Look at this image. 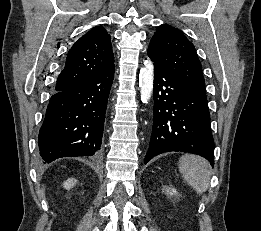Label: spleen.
Listing matches in <instances>:
<instances>
[{
	"instance_id": "3e777b00",
	"label": "spleen",
	"mask_w": 261,
	"mask_h": 231,
	"mask_svg": "<svg viewBox=\"0 0 261 231\" xmlns=\"http://www.w3.org/2000/svg\"><path fill=\"white\" fill-rule=\"evenodd\" d=\"M179 171L197 193L201 194L207 190L211 177L207 160L194 155L182 156L179 160Z\"/></svg>"
}]
</instances>
